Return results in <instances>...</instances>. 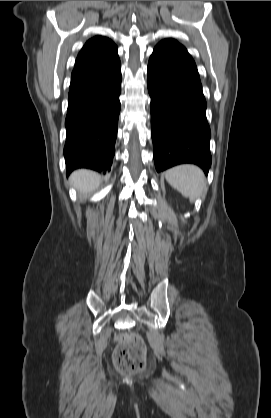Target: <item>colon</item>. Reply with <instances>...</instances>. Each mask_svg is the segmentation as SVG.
<instances>
[{
    "mask_svg": "<svg viewBox=\"0 0 271 418\" xmlns=\"http://www.w3.org/2000/svg\"><path fill=\"white\" fill-rule=\"evenodd\" d=\"M145 345L135 335H123L113 355L114 365L120 372L133 373L145 366Z\"/></svg>",
    "mask_w": 271,
    "mask_h": 418,
    "instance_id": "obj_1",
    "label": "colon"
}]
</instances>
